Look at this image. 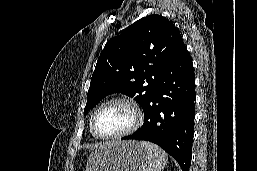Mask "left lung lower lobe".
I'll return each mask as SVG.
<instances>
[{"label": "left lung lower lobe", "instance_id": "1", "mask_svg": "<svg viewBox=\"0 0 257 171\" xmlns=\"http://www.w3.org/2000/svg\"><path fill=\"white\" fill-rule=\"evenodd\" d=\"M195 74L186 46L167 62L147 106L142 127L124 140L156 143L189 171L195 115Z\"/></svg>", "mask_w": 257, "mask_h": 171}]
</instances>
